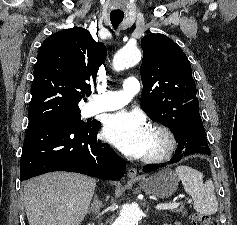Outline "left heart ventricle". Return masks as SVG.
<instances>
[{
    "label": "left heart ventricle",
    "mask_w": 237,
    "mask_h": 225,
    "mask_svg": "<svg viewBox=\"0 0 237 225\" xmlns=\"http://www.w3.org/2000/svg\"><path fill=\"white\" fill-rule=\"evenodd\" d=\"M160 146L159 140L156 136H154L153 134H151V132L149 133V138H148V145H147V153L156 150L158 147Z\"/></svg>",
    "instance_id": "left-heart-ventricle-1"
}]
</instances>
